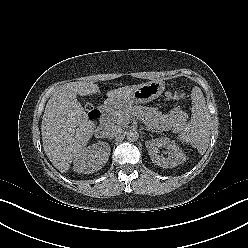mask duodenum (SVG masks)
Returning <instances> with one entry per match:
<instances>
[{
  "label": "duodenum",
  "mask_w": 248,
  "mask_h": 248,
  "mask_svg": "<svg viewBox=\"0 0 248 248\" xmlns=\"http://www.w3.org/2000/svg\"><path fill=\"white\" fill-rule=\"evenodd\" d=\"M109 111H110L109 105H102L98 110L97 116L94 119L96 122L95 134L97 137H101L104 134L106 127L105 116L108 114Z\"/></svg>",
  "instance_id": "1"
}]
</instances>
